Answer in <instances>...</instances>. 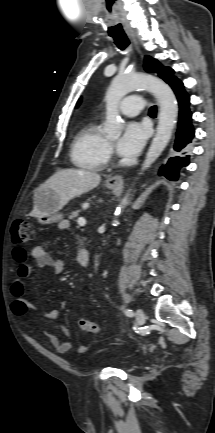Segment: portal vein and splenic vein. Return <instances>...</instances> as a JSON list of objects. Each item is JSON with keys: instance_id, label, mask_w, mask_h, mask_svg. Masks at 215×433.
I'll return each mask as SVG.
<instances>
[{"instance_id": "portal-vein-and-splenic-vein-1", "label": "portal vein and splenic vein", "mask_w": 215, "mask_h": 433, "mask_svg": "<svg viewBox=\"0 0 215 433\" xmlns=\"http://www.w3.org/2000/svg\"><path fill=\"white\" fill-rule=\"evenodd\" d=\"M77 222H78L79 226L83 227L86 225V220L83 217L79 218Z\"/></svg>"}]
</instances>
